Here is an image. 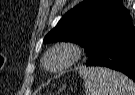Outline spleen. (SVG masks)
I'll return each mask as SVG.
<instances>
[{
    "mask_svg": "<svg viewBox=\"0 0 135 95\" xmlns=\"http://www.w3.org/2000/svg\"><path fill=\"white\" fill-rule=\"evenodd\" d=\"M79 74L84 80L86 95H135V83L119 72L82 66Z\"/></svg>",
    "mask_w": 135,
    "mask_h": 95,
    "instance_id": "obj_1",
    "label": "spleen"
}]
</instances>
